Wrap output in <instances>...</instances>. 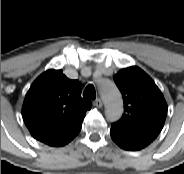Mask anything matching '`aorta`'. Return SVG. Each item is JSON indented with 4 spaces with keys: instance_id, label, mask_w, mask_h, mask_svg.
<instances>
[{
    "instance_id": "762f6f07",
    "label": "aorta",
    "mask_w": 184,
    "mask_h": 174,
    "mask_svg": "<svg viewBox=\"0 0 184 174\" xmlns=\"http://www.w3.org/2000/svg\"><path fill=\"white\" fill-rule=\"evenodd\" d=\"M101 96L105 103V114L109 121H117L123 112V101L116 85L110 80H102L99 84Z\"/></svg>"
}]
</instances>
